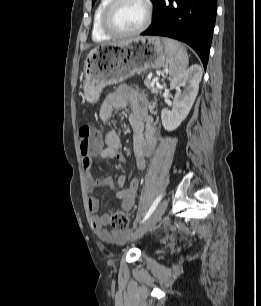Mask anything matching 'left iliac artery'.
I'll list each match as a JSON object with an SVG mask.
<instances>
[{
	"mask_svg": "<svg viewBox=\"0 0 261 306\" xmlns=\"http://www.w3.org/2000/svg\"><path fill=\"white\" fill-rule=\"evenodd\" d=\"M162 198V195H159L155 201L153 202V204L151 205V207L149 208V210L147 211L146 215L144 216L143 220L141 221V223H144L150 216L151 214L154 212V210L156 209L157 205L159 204L160 200Z\"/></svg>",
	"mask_w": 261,
	"mask_h": 306,
	"instance_id": "1",
	"label": "left iliac artery"
}]
</instances>
